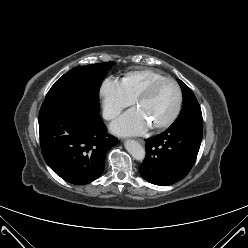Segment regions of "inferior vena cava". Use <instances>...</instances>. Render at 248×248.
I'll return each mask as SVG.
<instances>
[{
    "instance_id": "obj_1",
    "label": "inferior vena cava",
    "mask_w": 248,
    "mask_h": 248,
    "mask_svg": "<svg viewBox=\"0 0 248 248\" xmlns=\"http://www.w3.org/2000/svg\"><path fill=\"white\" fill-rule=\"evenodd\" d=\"M119 114V111L106 108L103 110V118L106 120L114 119Z\"/></svg>"
}]
</instances>
